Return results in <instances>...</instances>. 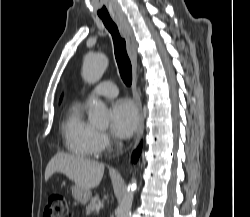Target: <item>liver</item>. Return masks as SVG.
Returning a JSON list of instances; mask_svg holds the SVG:
<instances>
[{
	"label": "liver",
	"instance_id": "6515ba94",
	"mask_svg": "<svg viewBox=\"0 0 250 217\" xmlns=\"http://www.w3.org/2000/svg\"><path fill=\"white\" fill-rule=\"evenodd\" d=\"M104 169V164L97 161L59 152L47 164L45 181L55 172H60L72 180L76 187L92 189L100 184Z\"/></svg>",
	"mask_w": 250,
	"mask_h": 217
}]
</instances>
